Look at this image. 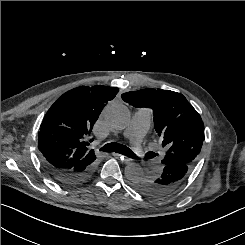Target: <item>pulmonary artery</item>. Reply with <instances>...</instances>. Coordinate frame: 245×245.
Instances as JSON below:
<instances>
[{
    "mask_svg": "<svg viewBox=\"0 0 245 245\" xmlns=\"http://www.w3.org/2000/svg\"><path fill=\"white\" fill-rule=\"evenodd\" d=\"M151 119L152 111L150 109H139L134 113L125 131V137L131 142L137 153L144 152L141 141L150 126Z\"/></svg>",
    "mask_w": 245,
    "mask_h": 245,
    "instance_id": "obj_1",
    "label": "pulmonary artery"
}]
</instances>
